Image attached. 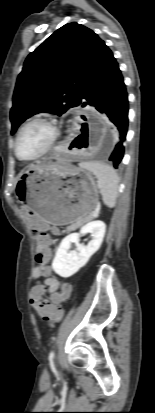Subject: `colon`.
<instances>
[{
  "mask_svg": "<svg viewBox=\"0 0 155 413\" xmlns=\"http://www.w3.org/2000/svg\"><path fill=\"white\" fill-rule=\"evenodd\" d=\"M36 261L41 265L39 272L44 277L53 275V270L48 266L49 251L47 249V236L43 232H39L37 235V247H36ZM61 292L53 294L50 301L45 296H41L37 293L30 295L31 305L38 311L40 316L45 322L57 323L63 318V310L61 303L66 301L70 296L71 283L67 279L62 278L59 281Z\"/></svg>",
  "mask_w": 155,
  "mask_h": 413,
  "instance_id": "colon-1",
  "label": "colon"
}]
</instances>
